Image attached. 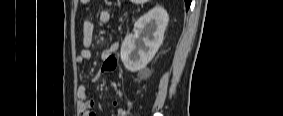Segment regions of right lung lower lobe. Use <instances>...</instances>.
Masks as SVG:
<instances>
[{
	"label": "right lung lower lobe",
	"instance_id": "obj_1",
	"mask_svg": "<svg viewBox=\"0 0 283 116\" xmlns=\"http://www.w3.org/2000/svg\"><path fill=\"white\" fill-rule=\"evenodd\" d=\"M185 3H186V10H188L191 4V0H185Z\"/></svg>",
	"mask_w": 283,
	"mask_h": 116
}]
</instances>
